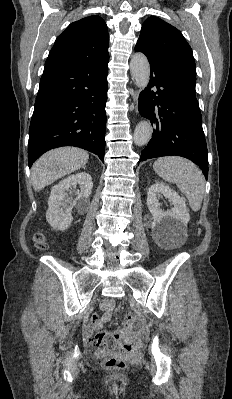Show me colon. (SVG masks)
<instances>
[{
    "instance_id": "5ec220e1",
    "label": "colon",
    "mask_w": 232,
    "mask_h": 399,
    "mask_svg": "<svg viewBox=\"0 0 232 399\" xmlns=\"http://www.w3.org/2000/svg\"><path fill=\"white\" fill-rule=\"evenodd\" d=\"M37 251L44 252L48 248V241L42 232L33 236ZM143 319L141 313H130L126 317L123 330H117L116 326H104L103 330H94L96 337V353H138L136 337L142 336ZM127 365L124 355H107L101 359V368H122Z\"/></svg>"
}]
</instances>
